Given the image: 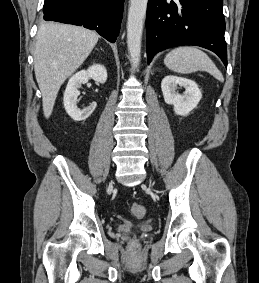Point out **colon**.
Segmentation results:
<instances>
[{"mask_svg":"<svg viewBox=\"0 0 259 283\" xmlns=\"http://www.w3.org/2000/svg\"><path fill=\"white\" fill-rule=\"evenodd\" d=\"M145 211H146L145 207L141 203H133L132 206H131V212L137 218L143 217L145 215ZM132 243L136 244L137 240L133 239Z\"/></svg>","mask_w":259,"mask_h":283,"instance_id":"colon-1","label":"colon"}]
</instances>
